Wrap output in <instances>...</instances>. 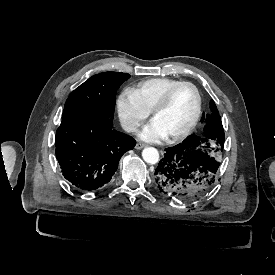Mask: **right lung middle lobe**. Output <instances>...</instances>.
Wrapping results in <instances>:
<instances>
[{
    "instance_id": "dd1d6c3e",
    "label": "right lung middle lobe",
    "mask_w": 275,
    "mask_h": 275,
    "mask_svg": "<svg viewBox=\"0 0 275 275\" xmlns=\"http://www.w3.org/2000/svg\"><path fill=\"white\" fill-rule=\"evenodd\" d=\"M129 78V74L121 72H104L90 77L70 94L63 115L82 114L112 123L116 91Z\"/></svg>"
}]
</instances>
